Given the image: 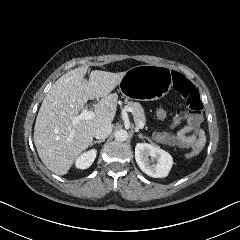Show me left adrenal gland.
<instances>
[{
	"label": "left adrenal gland",
	"instance_id": "1",
	"mask_svg": "<svg viewBox=\"0 0 240 240\" xmlns=\"http://www.w3.org/2000/svg\"><path fill=\"white\" fill-rule=\"evenodd\" d=\"M138 137L141 138V139H148L149 140V138H147L146 136H143L142 134H138Z\"/></svg>",
	"mask_w": 240,
	"mask_h": 240
}]
</instances>
